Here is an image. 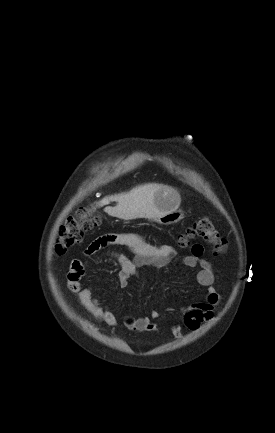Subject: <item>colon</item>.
Returning a JSON list of instances; mask_svg holds the SVG:
<instances>
[{"instance_id":"obj_1","label":"colon","mask_w":275,"mask_h":433,"mask_svg":"<svg viewBox=\"0 0 275 433\" xmlns=\"http://www.w3.org/2000/svg\"><path fill=\"white\" fill-rule=\"evenodd\" d=\"M101 223L97 214H89L82 210L77 217L70 218L60 227L57 234L54 250L57 255H63L77 244L83 234ZM194 238H200L213 247L214 253L221 255L226 250V241L219 234L209 217H201L180 236L179 245L187 246Z\"/></svg>"}]
</instances>
